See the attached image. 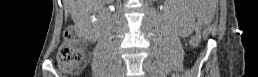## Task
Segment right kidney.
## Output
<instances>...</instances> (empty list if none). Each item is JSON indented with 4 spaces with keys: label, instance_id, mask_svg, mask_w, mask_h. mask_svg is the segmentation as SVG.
<instances>
[{
    "label": "right kidney",
    "instance_id": "ca27d5eb",
    "mask_svg": "<svg viewBox=\"0 0 258 77\" xmlns=\"http://www.w3.org/2000/svg\"><path fill=\"white\" fill-rule=\"evenodd\" d=\"M101 3L100 4H90V5H87L85 7H80L78 9L79 10H83L84 12H86V13H84L85 18H88V19L92 20L93 17H89L87 15V12L89 11V8H93L94 7L95 10H96L97 8L100 7ZM99 13H101V11ZM78 19L79 18L77 17V20ZM78 26L80 28L82 36L85 37L86 39H89V25L86 22H84V21H79L78 22Z\"/></svg>",
    "mask_w": 258,
    "mask_h": 77
}]
</instances>
